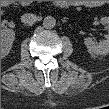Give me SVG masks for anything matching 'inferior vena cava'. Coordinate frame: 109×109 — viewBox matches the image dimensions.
Instances as JSON below:
<instances>
[{"label":"inferior vena cava","instance_id":"inferior-vena-cava-1","mask_svg":"<svg viewBox=\"0 0 109 109\" xmlns=\"http://www.w3.org/2000/svg\"><path fill=\"white\" fill-rule=\"evenodd\" d=\"M35 19H36V15L30 14V13H26V14H24L21 17V22H23V23H31Z\"/></svg>","mask_w":109,"mask_h":109}]
</instances>
